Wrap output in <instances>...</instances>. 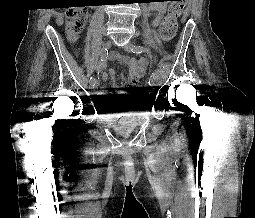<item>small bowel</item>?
Returning <instances> with one entry per match:
<instances>
[{
	"instance_id": "obj_1",
	"label": "small bowel",
	"mask_w": 255,
	"mask_h": 218,
	"mask_svg": "<svg viewBox=\"0 0 255 218\" xmlns=\"http://www.w3.org/2000/svg\"><path fill=\"white\" fill-rule=\"evenodd\" d=\"M156 13V16L152 20V26L156 27L159 25L161 20L163 19L166 13V3L165 0H155L150 3V5L146 9V13L148 16L151 15L152 12ZM112 59L118 61L120 64L125 65L129 68V77L128 79L122 77L120 81V86H136L139 81L143 78L145 69L147 66V60L145 58H141L139 60L129 58L127 56L121 55L118 52H114L112 54ZM109 75L112 78L113 86L117 87L115 82L116 71L114 69L109 70ZM107 74H103V80L106 81ZM102 98H104L103 102L100 104L101 106H108L112 103V99L117 95L115 92H102L99 94Z\"/></svg>"
}]
</instances>
